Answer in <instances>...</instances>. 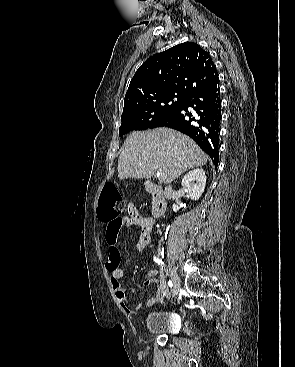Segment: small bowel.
Here are the masks:
<instances>
[{"instance_id": "small-bowel-1", "label": "small bowel", "mask_w": 295, "mask_h": 367, "mask_svg": "<svg viewBox=\"0 0 295 367\" xmlns=\"http://www.w3.org/2000/svg\"><path fill=\"white\" fill-rule=\"evenodd\" d=\"M128 214L119 217L116 220L106 222L105 240L108 245L109 255L106 261V269L110 273V282L115 293L117 302L121 308L129 313L135 314L136 307H131L127 303L125 289L121 284L124 272L121 268V255L118 248L120 231L125 226L135 225L140 228V234L137 241V249L144 250L151 242V234L154 228V220L151 217L143 216L133 204L127 205ZM152 283L158 284L157 290L150 297L146 305L148 307L162 301L167 294V287L163 277L158 270H150L142 278V284L148 286Z\"/></svg>"}]
</instances>
